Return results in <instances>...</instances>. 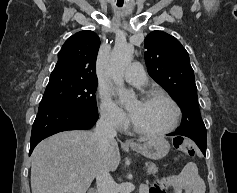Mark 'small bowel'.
I'll list each match as a JSON object with an SVG mask.
<instances>
[{"label":"small bowel","mask_w":237,"mask_h":193,"mask_svg":"<svg viewBox=\"0 0 237 193\" xmlns=\"http://www.w3.org/2000/svg\"><path fill=\"white\" fill-rule=\"evenodd\" d=\"M173 193H204L205 187L194 163H187L180 174L172 178ZM141 193H164L163 186L156 184L152 189L144 185Z\"/></svg>","instance_id":"c3829d8e"}]
</instances>
